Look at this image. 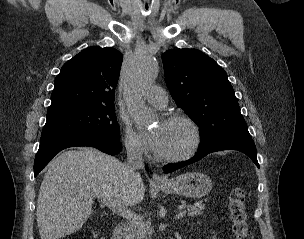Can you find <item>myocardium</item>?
<instances>
[{
	"instance_id": "obj_1",
	"label": "myocardium",
	"mask_w": 304,
	"mask_h": 239,
	"mask_svg": "<svg viewBox=\"0 0 304 239\" xmlns=\"http://www.w3.org/2000/svg\"><path fill=\"white\" fill-rule=\"evenodd\" d=\"M166 122H179L185 124L190 129L191 141L189 145L179 153L170 155L157 154L156 158L167 163L180 162L191 158L197 152L202 142V132L198 123L185 114L170 115L166 118Z\"/></svg>"
}]
</instances>
